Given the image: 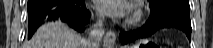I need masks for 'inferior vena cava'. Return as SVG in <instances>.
Wrapping results in <instances>:
<instances>
[{"instance_id":"obj_1","label":"inferior vena cava","mask_w":213,"mask_h":48,"mask_svg":"<svg viewBox=\"0 0 213 48\" xmlns=\"http://www.w3.org/2000/svg\"><path fill=\"white\" fill-rule=\"evenodd\" d=\"M104 35V28L101 16L97 23L90 29L89 37L85 40L88 48H98L99 43Z\"/></svg>"}]
</instances>
